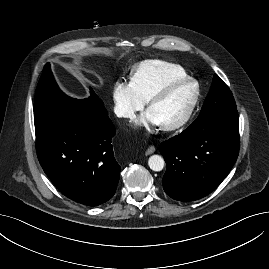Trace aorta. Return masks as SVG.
I'll return each mask as SVG.
<instances>
[{"label":"aorta","instance_id":"obj_1","mask_svg":"<svg viewBox=\"0 0 269 269\" xmlns=\"http://www.w3.org/2000/svg\"><path fill=\"white\" fill-rule=\"evenodd\" d=\"M148 165L153 171H161L164 168L165 162L164 159L159 155H152L148 159Z\"/></svg>","mask_w":269,"mask_h":269}]
</instances>
